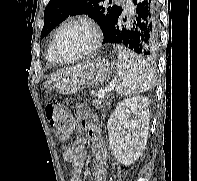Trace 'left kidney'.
<instances>
[{
  "instance_id": "5707ae66",
  "label": "left kidney",
  "mask_w": 197,
  "mask_h": 181,
  "mask_svg": "<svg viewBox=\"0 0 197 181\" xmlns=\"http://www.w3.org/2000/svg\"><path fill=\"white\" fill-rule=\"evenodd\" d=\"M149 104L147 97L127 98L117 105L108 120L109 144L121 164H133L144 151L150 121Z\"/></svg>"
}]
</instances>
